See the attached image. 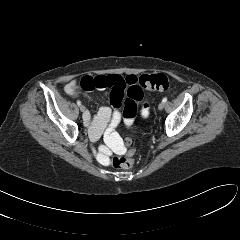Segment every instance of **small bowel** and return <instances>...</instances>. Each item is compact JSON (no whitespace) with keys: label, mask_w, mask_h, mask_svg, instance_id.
<instances>
[{"label":"small bowel","mask_w":240,"mask_h":240,"mask_svg":"<svg viewBox=\"0 0 240 240\" xmlns=\"http://www.w3.org/2000/svg\"><path fill=\"white\" fill-rule=\"evenodd\" d=\"M138 77L136 75H97L95 77L85 76L81 79L80 84L75 80L70 81L66 86V91L70 95H77L84 92H90L94 89L105 90L111 89L110 102L113 109L103 107L99 110L93 119L90 113L84 115V121L89 126L90 134L93 139H98L108 127L109 131H113L121 121V112L119 108L125 97V93L129 87L138 85ZM143 104L141 108V116L146 118L149 115V105L142 96ZM127 125L130 123L126 121Z\"/></svg>","instance_id":"small-bowel-1"}]
</instances>
